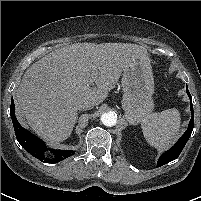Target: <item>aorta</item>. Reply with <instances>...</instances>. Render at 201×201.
<instances>
[{
    "label": "aorta",
    "instance_id": "762f6f07",
    "mask_svg": "<svg viewBox=\"0 0 201 201\" xmlns=\"http://www.w3.org/2000/svg\"><path fill=\"white\" fill-rule=\"evenodd\" d=\"M101 122L108 127L116 125L117 116L113 112L104 113L101 116Z\"/></svg>",
    "mask_w": 201,
    "mask_h": 201
}]
</instances>
